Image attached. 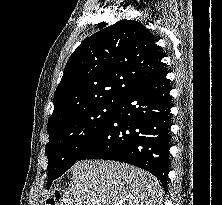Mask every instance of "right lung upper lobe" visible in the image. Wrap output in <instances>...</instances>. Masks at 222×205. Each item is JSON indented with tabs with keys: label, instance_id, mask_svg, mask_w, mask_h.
I'll return each instance as SVG.
<instances>
[{
	"label": "right lung upper lobe",
	"instance_id": "right-lung-upper-lobe-1",
	"mask_svg": "<svg viewBox=\"0 0 222 205\" xmlns=\"http://www.w3.org/2000/svg\"><path fill=\"white\" fill-rule=\"evenodd\" d=\"M161 59L153 36L138 21L120 20L86 38L67 62L48 125L91 105L121 102L165 70Z\"/></svg>",
	"mask_w": 222,
	"mask_h": 205
}]
</instances>
